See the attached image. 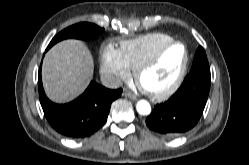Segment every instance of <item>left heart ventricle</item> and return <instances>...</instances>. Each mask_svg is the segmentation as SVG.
<instances>
[{
    "mask_svg": "<svg viewBox=\"0 0 249 165\" xmlns=\"http://www.w3.org/2000/svg\"><path fill=\"white\" fill-rule=\"evenodd\" d=\"M184 59L182 46H173L163 55L159 62L145 71L140 79L144 88L162 90L175 79Z\"/></svg>",
    "mask_w": 249,
    "mask_h": 165,
    "instance_id": "left-heart-ventricle-1",
    "label": "left heart ventricle"
}]
</instances>
